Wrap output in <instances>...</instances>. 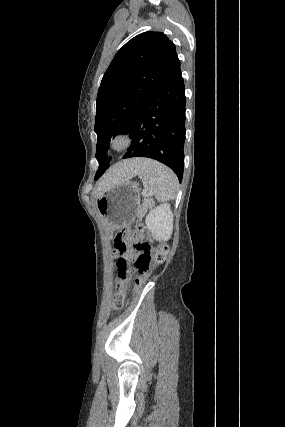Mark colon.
Listing matches in <instances>:
<instances>
[{
  "label": "colon",
  "instance_id": "5ec220e1",
  "mask_svg": "<svg viewBox=\"0 0 285 427\" xmlns=\"http://www.w3.org/2000/svg\"><path fill=\"white\" fill-rule=\"evenodd\" d=\"M114 249L117 254H124L129 250L135 251L138 256L132 267L128 268L123 260L117 262L120 281L117 292L113 297L112 307L120 310L124 306V298L128 290V273L137 274V283H143L156 265L163 264L168 256L169 248L166 244H159L155 248L144 238L143 227L140 224L133 226L129 233L119 234L114 239Z\"/></svg>",
  "mask_w": 285,
  "mask_h": 427
}]
</instances>
